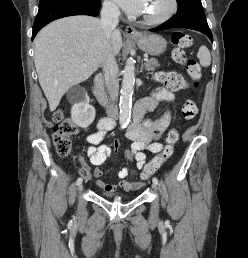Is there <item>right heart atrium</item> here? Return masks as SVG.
Instances as JSON below:
<instances>
[{"label":"right heart atrium","mask_w":248,"mask_h":258,"mask_svg":"<svg viewBox=\"0 0 248 258\" xmlns=\"http://www.w3.org/2000/svg\"><path fill=\"white\" fill-rule=\"evenodd\" d=\"M104 7L109 13L112 14H117L119 11L117 5L114 3L113 0H105Z\"/></svg>","instance_id":"1"}]
</instances>
